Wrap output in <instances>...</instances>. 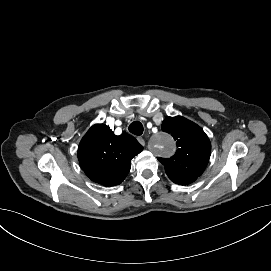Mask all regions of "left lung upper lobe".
Returning <instances> with one entry per match:
<instances>
[{"mask_svg": "<svg viewBox=\"0 0 271 271\" xmlns=\"http://www.w3.org/2000/svg\"><path fill=\"white\" fill-rule=\"evenodd\" d=\"M176 140L177 151L171 158H158L165 166L168 177L176 184L187 185L194 182L205 170L211 143L194 122L181 117H167L161 126Z\"/></svg>", "mask_w": 271, "mask_h": 271, "instance_id": "left-lung-upper-lobe-1", "label": "left lung upper lobe"}]
</instances>
